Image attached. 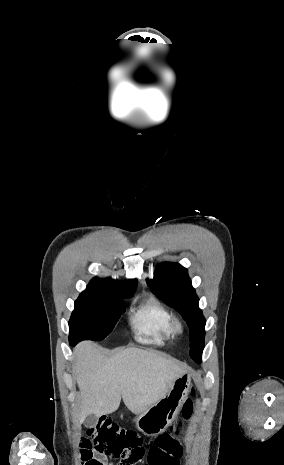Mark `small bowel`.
Segmentation results:
<instances>
[{
    "label": "small bowel",
    "mask_w": 284,
    "mask_h": 465,
    "mask_svg": "<svg viewBox=\"0 0 284 465\" xmlns=\"http://www.w3.org/2000/svg\"><path fill=\"white\" fill-rule=\"evenodd\" d=\"M103 462V461H102ZM102 465H112V463L110 461H106V462H103Z\"/></svg>",
    "instance_id": "1"
}]
</instances>
